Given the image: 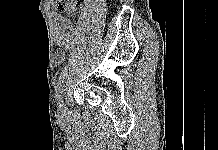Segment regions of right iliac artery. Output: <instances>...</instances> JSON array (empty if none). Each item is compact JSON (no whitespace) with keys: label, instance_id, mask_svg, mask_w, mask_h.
<instances>
[{"label":"right iliac artery","instance_id":"right-iliac-artery-1","mask_svg":"<svg viewBox=\"0 0 218 150\" xmlns=\"http://www.w3.org/2000/svg\"><path fill=\"white\" fill-rule=\"evenodd\" d=\"M67 75V67H65L59 77L57 86H56V97L58 100L61 99V94L64 91V82H65V77Z\"/></svg>","mask_w":218,"mask_h":150}]
</instances>
